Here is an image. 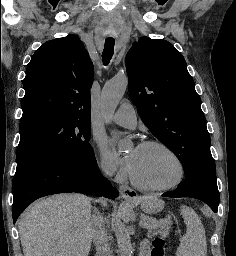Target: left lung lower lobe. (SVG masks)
Wrapping results in <instances>:
<instances>
[{"instance_id": "obj_1", "label": "left lung lower lobe", "mask_w": 236, "mask_h": 256, "mask_svg": "<svg viewBox=\"0 0 236 256\" xmlns=\"http://www.w3.org/2000/svg\"><path fill=\"white\" fill-rule=\"evenodd\" d=\"M165 197H191L199 199L217 212L219 205V191L216 178L207 176H191L179 184L176 190L166 192Z\"/></svg>"}]
</instances>
